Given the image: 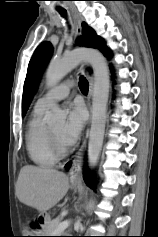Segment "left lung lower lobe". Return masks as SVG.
<instances>
[{"label": "left lung lower lobe", "instance_id": "1", "mask_svg": "<svg viewBox=\"0 0 158 237\" xmlns=\"http://www.w3.org/2000/svg\"><path fill=\"white\" fill-rule=\"evenodd\" d=\"M70 165H71V162H69V163H67L66 164V169H68L69 167H70ZM84 180H85V182L90 186V187H92V183L90 182V177H89V174H88V169L85 167L84 168Z\"/></svg>", "mask_w": 158, "mask_h": 237}]
</instances>
